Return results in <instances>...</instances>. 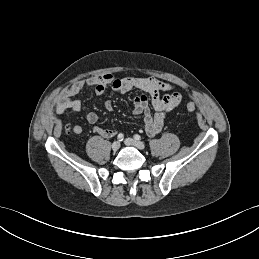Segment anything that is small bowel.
Returning <instances> with one entry per match:
<instances>
[{"instance_id":"obj_1","label":"small bowel","mask_w":259,"mask_h":259,"mask_svg":"<svg viewBox=\"0 0 259 259\" xmlns=\"http://www.w3.org/2000/svg\"><path fill=\"white\" fill-rule=\"evenodd\" d=\"M84 88H94L96 94H102L108 88L115 92L127 93L132 89H138L144 94L136 96L133 103V113L143 115L146 133L153 137L163 128L165 119L173 109H175L182 100V95L174 90V87L153 77H123L115 78L110 73H104L98 76L78 79L62 90L59 99L54 104V111L63 113L65 111H80L81 101L74 97ZM151 103V106L149 105ZM105 108L112 111L113 104L111 101L105 103ZM90 124H96L99 116L95 112H89L85 116ZM47 125L53 124V118L48 117ZM94 132L104 138H111L116 134L115 129L94 126ZM75 134L82 133L80 125L73 128Z\"/></svg>"}]
</instances>
